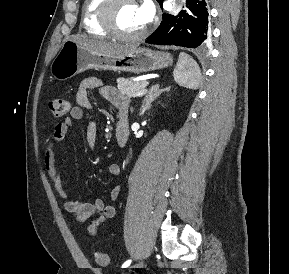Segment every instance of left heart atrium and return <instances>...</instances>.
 <instances>
[{
    "label": "left heart atrium",
    "mask_w": 289,
    "mask_h": 274,
    "mask_svg": "<svg viewBox=\"0 0 289 274\" xmlns=\"http://www.w3.org/2000/svg\"><path fill=\"white\" fill-rule=\"evenodd\" d=\"M139 8L144 22H150L154 16L153 3L150 0H144V2L139 6Z\"/></svg>",
    "instance_id": "left-heart-atrium-1"
}]
</instances>
